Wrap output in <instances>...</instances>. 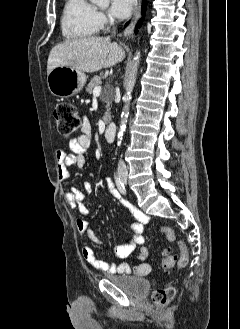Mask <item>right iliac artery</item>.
I'll use <instances>...</instances> for the list:
<instances>
[{"mask_svg":"<svg viewBox=\"0 0 240 329\" xmlns=\"http://www.w3.org/2000/svg\"><path fill=\"white\" fill-rule=\"evenodd\" d=\"M115 182H116V185H117V188L119 189V191L123 195H125L126 194L125 186H124V184L122 183V181L120 180V178L118 176H115Z\"/></svg>","mask_w":240,"mask_h":329,"instance_id":"82829eb1","label":"right iliac artery"}]
</instances>
